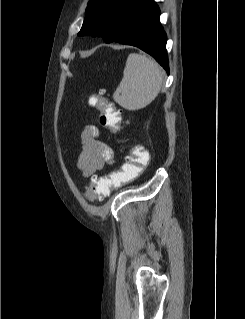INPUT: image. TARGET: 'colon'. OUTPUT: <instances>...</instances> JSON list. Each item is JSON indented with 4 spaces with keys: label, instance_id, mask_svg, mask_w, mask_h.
<instances>
[{
    "label": "colon",
    "instance_id": "1",
    "mask_svg": "<svg viewBox=\"0 0 245 319\" xmlns=\"http://www.w3.org/2000/svg\"><path fill=\"white\" fill-rule=\"evenodd\" d=\"M89 105L99 112L101 126L112 132L121 130L127 123L115 103L101 94H93L88 99ZM125 163L117 170L104 176L94 174L90 178L86 196L90 200L104 198L111 191L138 178L149 164V154L141 146H134L125 157Z\"/></svg>",
    "mask_w": 245,
    "mask_h": 319
}]
</instances>
